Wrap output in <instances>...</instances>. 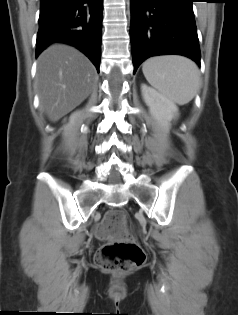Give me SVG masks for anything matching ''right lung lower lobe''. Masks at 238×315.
<instances>
[{"label": "right lung lower lobe", "instance_id": "98d812e1", "mask_svg": "<svg viewBox=\"0 0 238 315\" xmlns=\"http://www.w3.org/2000/svg\"><path fill=\"white\" fill-rule=\"evenodd\" d=\"M103 0H40L36 57L52 42L81 50L99 72Z\"/></svg>", "mask_w": 238, "mask_h": 315}]
</instances>
